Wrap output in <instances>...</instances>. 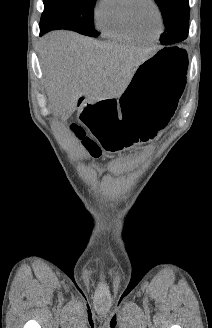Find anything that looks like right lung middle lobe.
<instances>
[{"instance_id": "1", "label": "right lung middle lobe", "mask_w": 212, "mask_h": 328, "mask_svg": "<svg viewBox=\"0 0 212 328\" xmlns=\"http://www.w3.org/2000/svg\"><path fill=\"white\" fill-rule=\"evenodd\" d=\"M95 2L96 0H44L40 28L47 32L54 29H67L97 37L93 25Z\"/></svg>"}]
</instances>
